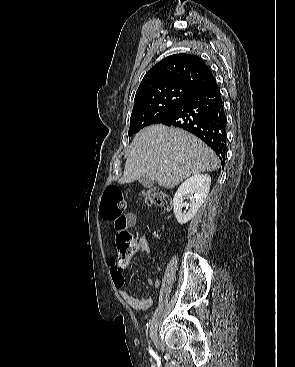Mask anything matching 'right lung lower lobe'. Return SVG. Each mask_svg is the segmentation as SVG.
I'll return each mask as SVG.
<instances>
[{
    "instance_id": "98d812e1",
    "label": "right lung lower lobe",
    "mask_w": 295,
    "mask_h": 367,
    "mask_svg": "<svg viewBox=\"0 0 295 367\" xmlns=\"http://www.w3.org/2000/svg\"><path fill=\"white\" fill-rule=\"evenodd\" d=\"M158 123L191 132L211 147L222 162L224 161L226 116L216 81L193 92Z\"/></svg>"
}]
</instances>
